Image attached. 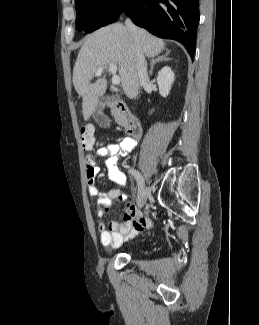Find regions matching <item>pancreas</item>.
<instances>
[{
	"mask_svg": "<svg viewBox=\"0 0 259 325\" xmlns=\"http://www.w3.org/2000/svg\"><path fill=\"white\" fill-rule=\"evenodd\" d=\"M112 116L115 119V122L120 126H126V121L124 115L120 112L119 109L113 108L111 111Z\"/></svg>",
	"mask_w": 259,
	"mask_h": 325,
	"instance_id": "obj_1",
	"label": "pancreas"
}]
</instances>
